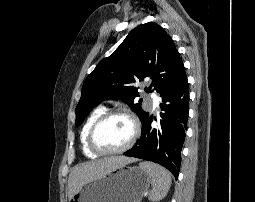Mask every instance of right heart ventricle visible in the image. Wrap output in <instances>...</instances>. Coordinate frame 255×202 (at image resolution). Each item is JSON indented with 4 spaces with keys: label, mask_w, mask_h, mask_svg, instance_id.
Returning a JSON list of instances; mask_svg holds the SVG:
<instances>
[{
    "label": "right heart ventricle",
    "mask_w": 255,
    "mask_h": 202,
    "mask_svg": "<svg viewBox=\"0 0 255 202\" xmlns=\"http://www.w3.org/2000/svg\"><path fill=\"white\" fill-rule=\"evenodd\" d=\"M104 112L105 110L103 107H100L96 109L95 111H93L90 114V116L87 118L86 122L84 123L80 133V142H81L83 153L90 158H96L98 155L89 148L87 143V136L94 121Z\"/></svg>",
    "instance_id": "1"
}]
</instances>
